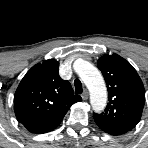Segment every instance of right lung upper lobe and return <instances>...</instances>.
<instances>
[{
    "label": "right lung upper lobe",
    "instance_id": "obj_1",
    "mask_svg": "<svg viewBox=\"0 0 148 148\" xmlns=\"http://www.w3.org/2000/svg\"><path fill=\"white\" fill-rule=\"evenodd\" d=\"M58 67L55 59L34 65L15 92L16 118L32 133L55 129L71 105L82 100L70 83L60 78Z\"/></svg>",
    "mask_w": 148,
    "mask_h": 148
}]
</instances>
